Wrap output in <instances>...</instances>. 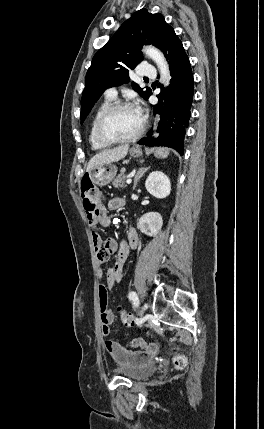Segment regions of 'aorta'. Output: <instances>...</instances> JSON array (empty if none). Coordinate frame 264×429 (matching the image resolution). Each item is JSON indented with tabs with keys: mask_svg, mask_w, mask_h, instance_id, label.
Here are the masks:
<instances>
[{
	"mask_svg": "<svg viewBox=\"0 0 264 429\" xmlns=\"http://www.w3.org/2000/svg\"><path fill=\"white\" fill-rule=\"evenodd\" d=\"M145 54L150 57L158 66L161 75V81L164 85H168L171 79L168 64L163 54L155 47L148 46L144 49Z\"/></svg>",
	"mask_w": 264,
	"mask_h": 429,
	"instance_id": "1",
	"label": "aorta"
}]
</instances>
